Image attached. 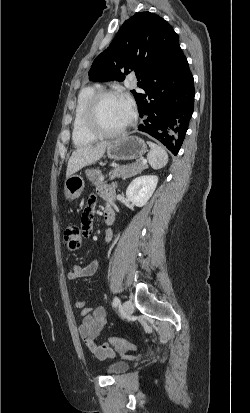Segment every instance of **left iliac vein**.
Listing matches in <instances>:
<instances>
[{"label": "left iliac vein", "instance_id": "4c4485c4", "mask_svg": "<svg viewBox=\"0 0 250 413\" xmlns=\"http://www.w3.org/2000/svg\"><path fill=\"white\" fill-rule=\"evenodd\" d=\"M122 310L126 316H129L134 311V305L131 301L127 300L122 304Z\"/></svg>", "mask_w": 250, "mask_h": 413}]
</instances>
